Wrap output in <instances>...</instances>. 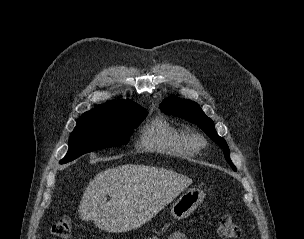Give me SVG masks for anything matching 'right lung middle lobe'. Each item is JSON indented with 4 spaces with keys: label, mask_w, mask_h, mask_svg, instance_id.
I'll return each mask as SVG.
<instances>
[{
    "label": "right lung middle lobe",
    "mask_w": 304,
    "mask_h": 239,
    "mask_svg": "<svg viewBox=\"0 0 304 239\" xmlns=\"http://www.w3.org/2000/svg\"><path fill=\"white\" fill-rule=\"evenodd\" d=\"M148 112L144 108H132L117 115L81 116L69 138V149L60 163L111 146L126 145L131 133Z\"/></svg>",
    "instance_id": "1"
}]
</instances>
